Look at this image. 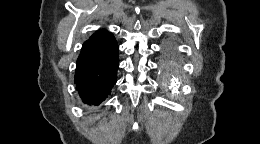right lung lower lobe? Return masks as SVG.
Wrapping results in <instances>:
<instances>
[{
	"label": "right lung lower lobe",
	"instance_id": "right-lung-lower-lobe-1",
	"mask_svg": "<svg viewBox=\"0 0 260 144\" xmlns=\"http://www.w3.org/2000/svg\"><path fill=\"white\" fill-rule=\"evenodd\" d=\"M118 44L111 33L84 42L77 59L76 89L84 103L99 105L117 80Z\"/></svg>",
	"mask_w": 260,
	"mask_h": 144
}]
</instances>
